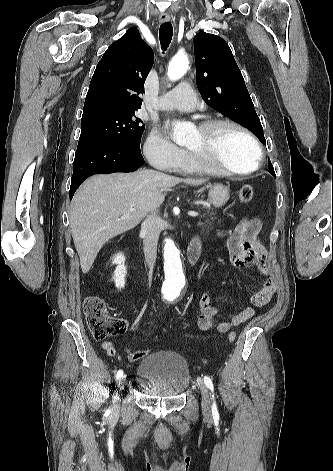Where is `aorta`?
I'll return each mask as SVG.
<instances>
[{"instance_id":"aorta-1","label":"aorta","mask_w":333,"mask_h":471,"mask_svg":"<svg viewBox=\"0 0 333 471\" xmlns=\"http://www.w3.org/2000/svg\"><path fill=\"white\" fill-rule=\"evenodd\" d=\"M188 68V58L185 54H177L169 63L167 76L171 81H177L184 76ZM191 128L188 122H177L174 125V140L180 144L187 138ZM164 266L166 279L162 286L163 298L169 299L181 296L184 291L185 277L181 254L173 240L164 241Z\"/></svg>"}]
</instances>
